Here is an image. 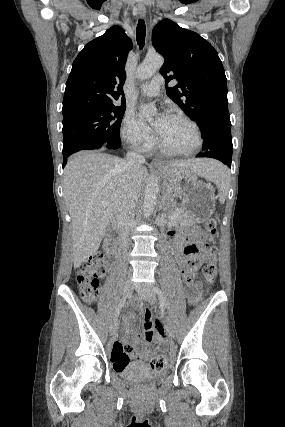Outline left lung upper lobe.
Wrapping results in <instances>:
<instances>
[{"label": "left lung upper lobe", "mask_w": 285, "mask_h": 427, "mask_svg": "<svg viewBox=\"0 0 285 427\" xmlns=\"http://www.w3.org/2000/svg\"><path fill=\"white\" fill-rule=\"evenodd\" d=\"M152 44L164 56L160 73L167 95L198 125L217 119L230 121L227 79L217 51L199 34L164 19L152 33Z\"/></svg>", "instance_id": "left-lung-upper-lobe-1"}]
</instances>
